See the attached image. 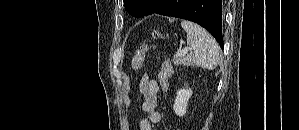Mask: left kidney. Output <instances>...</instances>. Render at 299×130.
Returning <instances> with one entry per match:
<instances>
[{
    "mask_svg": "<svg viewBox=\"0 0 299 130\" xmlns=\"http://www.w3.org/2000/svg\"><path fill=\"white\" fill-rule=\"evenodd\" d=\"M192 95L191 89H180L176 93L175 102L173 105V110L176 115L184 116L187 111L188 101Z\"/></svg>",
    "mask_w": 299,
    "mask_h": 130,
    "instance_id": "left-kidney-1",
    "label": "left kidney"
}]
</instances>
